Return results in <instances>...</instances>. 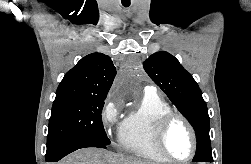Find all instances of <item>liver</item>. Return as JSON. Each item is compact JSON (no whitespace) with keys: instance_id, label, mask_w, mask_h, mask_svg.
<instances>
[{"instance_id":"obj_1","label":"liver","mask_w":251,"mask_h":164,"mask_svg":"<svg viewBox=\"0 0 251 164\" xmlns=\"http://www.w3.org/2000/svg\"><path fill=\"white\" fill-rule=\"evenodd\" d=\"M57 164H155L141 161L123 154L113 153L105 149L85 148L75 151Z\"/></svg>"}]
</instances>
